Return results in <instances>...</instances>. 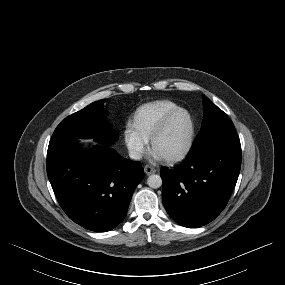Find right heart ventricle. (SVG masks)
I'll return each mask as SVG.
<instances>
[{"mask_svg":"<svg viewBox=\"0 0 285 285\" xmlns=\"http://www.w3.org/2000/svg\"><path fill=\"white\" fill-rule=\"evenodd\" d=\"M178 104L162 99L145 103L138 107L132 115L131 126L145 140H149L161 120Z\"/></svg>","mask_w":285,"mask_h":285,"instance_id":"right-heart-ventricle-1","label":"right heart ventricle"}]
</instances>
